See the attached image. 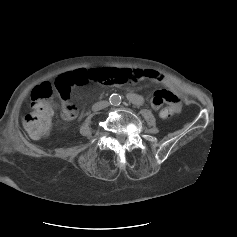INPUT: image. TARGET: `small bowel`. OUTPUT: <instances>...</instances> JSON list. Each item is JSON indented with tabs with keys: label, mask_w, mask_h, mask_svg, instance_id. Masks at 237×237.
<instances>
[{
	"label": "small bowel",
	"mask_w": 237,
	"mask_h": 237,
	"mask_svg": "<svg viewBox=\"0 0 237 237\" xmlns=\"http://www.w3.org/2000/svg\"><path fill=\"white\" fill-rule=\"evenodd\" d=\"M118 71H120L125 77H127V80L138 81L142 79H149L153 82L162 84L165 87L164 89L158 90L154 93L151 99V105L153 109L159 110L163 104H168L170 107L175 108L176 113L180 110V97L178 95L175 85L168 78L164 77L163 75L154 70L119 69ZM103 84L108 86H114L119 85L120 83L107 81L103 82ZM128 98L130 101L136 104L140 103L142 100L140 95L133 92L128 94ZM75 115L69 116L65 112L63 104L62 116L65 120H72Z\"/></svg>",
	"instance_id": "c3829d8e"
}]
</instances>
